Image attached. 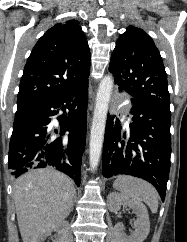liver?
Wrapping results in <instances>:
<instances>
[{
	"label": "liver",
	"instance_id": "liver-1",
	"mask_svg": "<svg viewBox=\"0 0 187 242\" xmlns=\"http://www.w3.org/2000/svg\"><path fill=\"white\" fill-rule=\"evenodd\" d=\"M13 194L23 242H37L72 210L75 187L63 173L48 167L19 177Z\"/></svg>",
	"mask_w": 187,
	"mask_h": 242
}]
</instances>
